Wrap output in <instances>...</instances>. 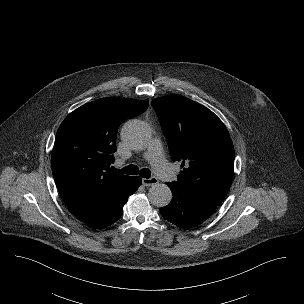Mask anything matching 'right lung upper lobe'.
<instances>
[{"mask_svg":"<svg viewBox=\"0 0 304 304\" xmlns=\"http://www.w3.org/2000/svg\"><path fill=\"white\" fill-rule=\"evenodd\" d=\"M148 105V99L102 98L77 108L61 123L52 173L62 199L79 218L95 213L130 178L110 168L117 130Z\"/></svg>","mask_w":304,"mask_h":304,"instance_id":"1","label":"right lung upper lobe"}]
</instances>
